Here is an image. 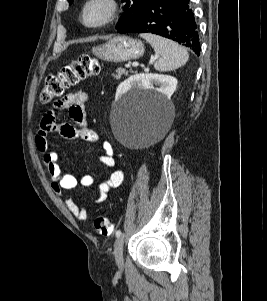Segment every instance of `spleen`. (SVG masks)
Returning <instances> with one entry per match:
<instances>
[{"label":"spleen","instance_id":"spleen-1","mask_svg":"<svg viewBox=\"0 0 267 301\" xmlns=\"http://www.w3.org/2000/svg\"><path fill=\"white\" fill-rule=\"evenodd\" d=\"M140 36L152 46L155 53L159 56V60L154 64V68L157 71L175 70L185 65L189 59L186 49L174 41L149 33L141 34Z\"/></svg>","mask_w":267,"mask_h":301}]
</instances>
